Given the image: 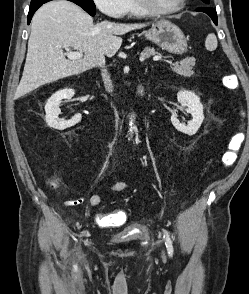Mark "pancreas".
<instances>
[{
    "label": "pancreas",
    "mask_w": 249,
    "mask_h": 294,
    "mask_svg": "<svg viewBox=\"0 0 249 294\" xmlns=\"http://www.w3.org/2000/svg\"><path fill=\"white\" fill-rule=\"evenodd\" d=\"M158 54V52L155 51L154 48L147 47L143 50L142 55L143 56H148V55H155ZM171 69L184 77H190L191 75L194 74L193 72V67L195 66V59L190 57V58H185L181 60L179 63H172V61H167Z\"/></svg>",
    "instance_id": "cf45deb5"
}]
</instances>
